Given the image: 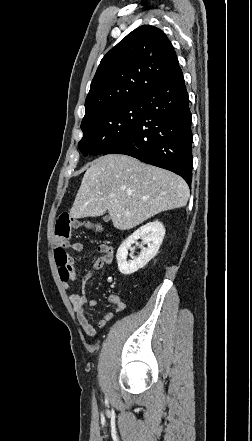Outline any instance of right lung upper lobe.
Instances as JSON below:
<instances>
[{
    "label": "right lung upper lobe",
    "mask_w": 252,
    "mask_h": 441,
    "mask_svg": "<svg viewBox=\"0 0 252 441\" xmlns=\"http://www.w3.org/2000/svg\"><path fill=\"white\" fill-rule=\"evenodd\" d=\"M179 67L174 48L159 28L143 25L101 60L85 101L83 120L140 99Z\"/></svg>",
    "instance_id": "right-lung-upper-lobe-1"
}]
</instances>
